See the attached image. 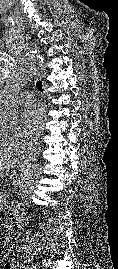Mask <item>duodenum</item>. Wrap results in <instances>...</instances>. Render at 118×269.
Masks as SVG:
<instances>
[{
  "instance_id": "obj_1",
  "label": "duodenum",
  "mask_w": 118,
  "mask_h": 269,
  "mask_svg": "<svg viewBox=\"0 0 118 269\" xmlns=\"http://www.w3.org/2000/svg\"><path fill=\"white\" fill-rule=\"evenodd\" d=\"M16 222L20 227L25 226L27 223V215L22 211H18L16 214Z\"/></svg>"
}]
</instances>
